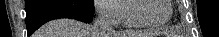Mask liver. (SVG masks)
Masks as SVG:
<instances>
[{
  "instance_id": "obj_1",
  "label": "liver",
  "mask_w": 219,
  "mask_h": 37,
  "mask_svg": "<svg viewBox=\"0 0 219 37\" xmlns=\"http://www.w3.org/2000/svg\"><path fill=\"white\" fill-rule=\"evenodd\" d=\"M114 37H130L129 33L114 34ZM34 37H94L91 25L72 19H57L46 23Z\"/></svg>"
}]
</instances>
